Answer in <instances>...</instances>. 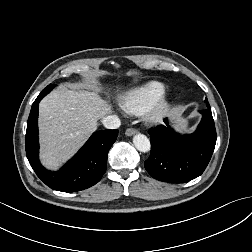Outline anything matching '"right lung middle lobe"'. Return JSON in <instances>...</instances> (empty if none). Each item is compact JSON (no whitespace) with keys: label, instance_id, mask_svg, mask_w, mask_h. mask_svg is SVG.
Returning a JSON list of instances; mask_svg holds the SVG:
<instances>
[{"label":"right lung middle lobe","instance_id":"1","mask_svg":"<svg viewBox=\"0 0 252 252\" xmlns=\"http://www.w3.org/2000/svg\"><path fill=\"white\" fill-rule=\"evenodd\" d=\"M54 87H55V85H52V84L48 85V86L41 92V94L47 95Z\"/></svg>","mask_w":252,"mask_h":252}]
</instances>
